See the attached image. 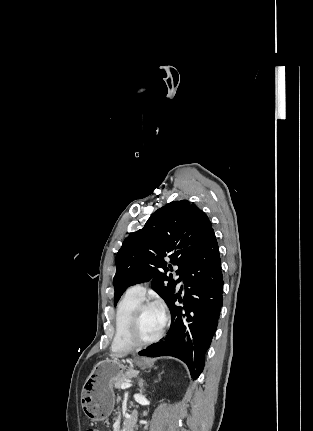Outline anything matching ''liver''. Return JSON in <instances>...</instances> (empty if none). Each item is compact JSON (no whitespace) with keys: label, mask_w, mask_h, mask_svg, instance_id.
<instances>
[{"label":"liver","mask_w":313,"mask_h":431,"mask_svg":"<svg viewBox=\"0 0 313 431\" xmlns=\"http://www.w3.org/2000/svg\"><path fill=\"white\" fill-rule=\"evenodd\" d=\"M125 356H126L125 354H110V357L114 359L122 358Z\"/></svg>","instance_id":"obj_1"}]
</instances>
